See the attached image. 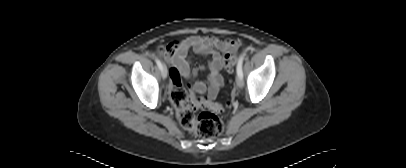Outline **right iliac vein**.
I'll return each instance as SVG.
<instances>
[{
  "mask_svg": "<svg viewBox=\"0 0 406 168\" xmlns=\"http://www.w3.org/2000/svg\"><path fill=\"white\" fill-rule=\"evenodd\" d=\"M161 75L163 79L167 78V68L165 65H163L162 70H161Z\"/></svg>",
  "mask_w": 406,
  "mask_h": 168,
  "instance_id": "obj_1",
  "label": "right iliac vein"
}]
</instances>
